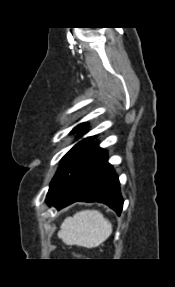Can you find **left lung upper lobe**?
Segmentation results:
<instances>
[{
	"instance_id": "5c2ea615",
	"label": "left lung upper lobe",
	"mask_w": 175,
	"mask_h": 287,
	"mask_svg": "<svg viewBox=\"0 0 175 287\" xmlns=\"http://www.w3.org/2000/svg\"><path fill=\"white\" fill-rule=\"evenodd\" d=\"M85 123L77 125L72 132L85 134ZM95 136L78 142L62 158L61 164L50 183L47 202L57 199L75 180H77L104 151L93 141Z\"/></svg>"
}]
</instances>
